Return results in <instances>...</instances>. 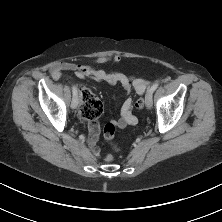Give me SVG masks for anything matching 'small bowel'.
<instances>
[{"label":"small bowel","mask_w":222,"mask_h":222,"mask_svg":"<svg viewBox=\"0 0 222 222\" xmlns=\"http://www.w3.org/2000/svg\"><path fill=\"white\" fill-rule=\"evenodd\" d=\"M119 61L120 57L117 55H106L100 56L87 64L69 62L55 63L50 68V74L54 79H59L63 71H72L79 79L89 78L100 82H106L110 85L120 84L127 95L130 94L132 90L135 91L136 94L142 95L148 86V82L146 80L130 77L116 71L107 72L103 69L96 68L97 65L117 63ZM99 116L87 121L89 131L88 142L94 155L97 157L100 156V151L97 147L100 129L98 123ZM136 123L137 118L133 114V101L130 96H127L121 105L120 117L112 124L122 129L128 125H134Z\"/></svg>","instance_id":"small-bowel-1"}]
</instances>
